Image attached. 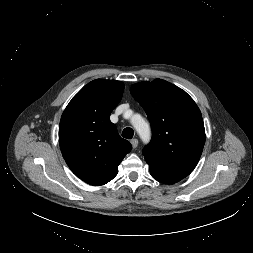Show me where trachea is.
Returning a JSON list of instances; mask_svg holds the SVG:
<instances>
[{"label":"trachea","instance_id":"1","mask_svg":"<svg viewBox=\"0 0 253 253\" xmlns=\"http://www.w3.org/2000/svg\"><path fill=\"white\" fill-rule=\"evenodd\" d=\"M134 135V131L132 128H125L122 132V137L126 138V139H131Z\"/></svg>","mask_w":253,"mask_h":253}]
</instances>
